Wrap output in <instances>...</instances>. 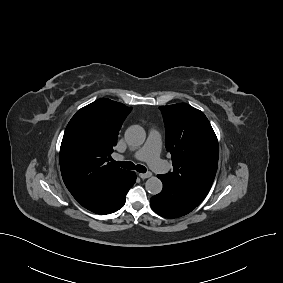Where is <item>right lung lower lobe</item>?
Here are the masks:
<instances>
[{
	"mask_svg": "<svg viewBox=\"0 0 283 283\" xmlns=\"http://www.w3.org/2000/svg\"><path fill=\"white\" fill-rule=\"evenodd\" d=\"M135 181L136 174L132 171L129 172L122 183L111 188L106 196L87 209L101 215L110 214L119 210L125 204L126 194L134 185Z\"/></svg>",
	"mask_w": 283,
	"mask_h": 283,
	"instance_id": "1",
	"label": "right lung lower lobe"
}]
</instances>
